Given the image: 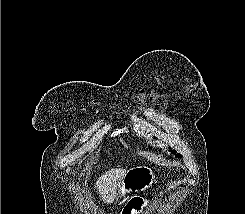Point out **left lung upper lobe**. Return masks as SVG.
I'll return each mask as SVG.
<instances>
[{
    "label": "left lung upper lobe",
    "mask_w": 245,
    "mask_h": 214,
    "mask_svg": "<svg viewBox=\"0 0 245 214\" xmlns=\"http://www.w3.org/2000/svg\"><path fill=\"white\" fill-rule=\"evenodd\" d=\"M172 153H176V151H172ZM176 157L181 158V154H176Z\"/></svg>",
    "instance_id": "5c2ea615"
}]
</instances>
